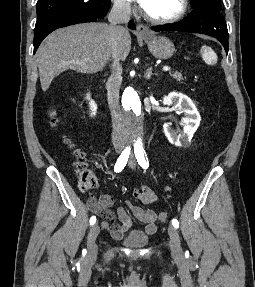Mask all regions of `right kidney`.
Here are the masks:
<instances>
[{
	"instance_id": "ca27d5eb",
	"label": "right kidney",
	"mask_w": 255,
	"mask_h": 287,
	"mask_svg": "<svg viewBox=\"0 0 255 287\" xmlns=\"http://www.w3.org/2000/svg\"><path fill=\"white\" fill-rule=\"evenodd\" d=\"M87 100H90L89 94H88ZM89 104H90L91 116H95V114L97 112V106H96L95 102H93V100H90Z\"/></svg>"
}]
</instances>
